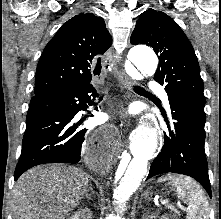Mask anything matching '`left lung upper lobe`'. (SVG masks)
Here are the masks:
<instances>
[{
	"label": "left lung upper lobe",
	"mask_w": 221,
	"mask_h": 219,
	"mask_svg": "<svg viewBox=\"0 0 221 219\" xmlns=\"http://www.w3.org/2000/svg\"><path fill=\"white\" fill-rule=\"evenodd\" d=\"M131 44H146L159 56L154 79L165 86L169 99H179L204 108V85L194 49L177 23L161 11L140 14Z\"/></svg>",
	"instance_id": "1"
}]
</instances>
